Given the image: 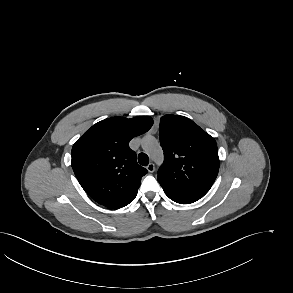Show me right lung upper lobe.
Here are the masks:
<instances>
[{
	"label": "right lung upper lobe",
	"instance_id": "1",
	"mask_svg": "<svg viewBox=\"0 0 293 293\" xmlns=\"http://www.w3.org/2000/svg\"><path fill=\"white\" fill-rule=\"evenodd\" d=\"M153 125L149 116L112 117L93 125L73 145L72 168L85 192L108 208L128 205L147 170L137 163L130 140Z\"/></svg>",
	"mask_w": 293,
	"mask_h": 293
}]
</instances>
